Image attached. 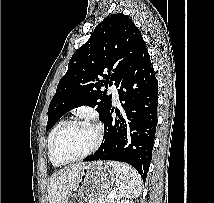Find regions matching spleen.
<instances>
[{
    "instance_id": "spleen-1",
    "label": "spleen",
    "mask_w": 214,
    "mask_h": 203,
    "mask_svg": "<svg viewBox=\"0 0 214 203\" xmlns=\"http://www.w3.org/2000/svg\"><path fill=\"white\" fill-rule=\"evenodd\" d=\"M108 164L116 174L115 184L119 189L118 199L120 197H138L142 191V179L138 172L124 163L111 161Z\"/></svg>"
}]
</instances>
